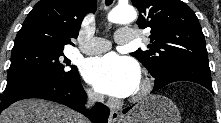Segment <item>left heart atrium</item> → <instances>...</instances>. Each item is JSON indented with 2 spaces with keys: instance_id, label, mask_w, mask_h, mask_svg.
<instances>
[{
  "instance_id": "1",
  "label": "left heart atrium",
  "mask_w": 221,
  "mask_h": 123,
  "mask_svg": "<svg viewBox=\"0 0 221 123\" xmlns=\"http://www.w3.org/2000/svg\"><path fill=\"white\" fill-rule=\"evenodd\" d=\"M82 73L96 91L114 97L131 95L140 81L137 63L115 53L88 59L83 65Z\"/></svg>"
}]
</instances>
